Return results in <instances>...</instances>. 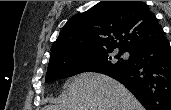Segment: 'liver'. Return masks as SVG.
Wrapping results in <instances>:
<instances>
[{
	"instance_id": "obj_1",
	"label": "liver",
	"mask_w": 171,
	"mask_h": 110,
	"mask_svg": "<svg viewBox=\"0 0 171 110\" xmlns=\"http://www.w3.org/2000/svg\"><path fill=\"white\" fill-rule=\"evenodd\" d=\"M67 97L42 110H144L118 81L99 73H83L64 85Z\"/></svg>"
}]
</instances>
